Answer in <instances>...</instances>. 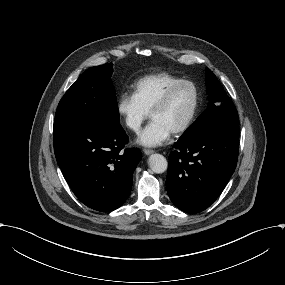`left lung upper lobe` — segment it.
Masks as SVG:
<instances>
[{
	"label": "left lung upper lobe",
	"mask_w": 285,
	"mask_h": 285,
	"mask_svg": "<svg viewBox=\"0 0 285 285\" xmlns=\"http://www.w3.org/2000/svg\"><path fill=\"white\" fill-rule=\"evenodd\" d=\"M207 94L210 104L199 118L186 130L180 140H187L197 131L224 119L238 117L233 102L227 96L223 86L220 84L214 73L206 68Z\"/></svg>",
	"instance_id": "5c2ea615"
}]
</instances>
